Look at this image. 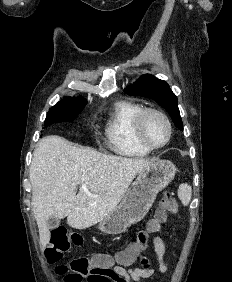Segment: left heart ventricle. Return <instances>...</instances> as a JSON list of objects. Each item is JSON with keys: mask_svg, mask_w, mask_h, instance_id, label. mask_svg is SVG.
<instances>
[{"mask_svg": "<svg viewBox=\"0 0 232 282\" xmlns=\"http://www.w3.org/2000/svg\"><path fill=\"white\" fill-rule=\"evenodd\" d=\"M144 134L152 144L159 145L166 140L168 130L159 116L149 115L145 120Z\"/></svg>", "mask_w": 232, "mask_h": 282, "instance_id": "b2bd125f", "label": "left heart ventricle"}]
</instances>
